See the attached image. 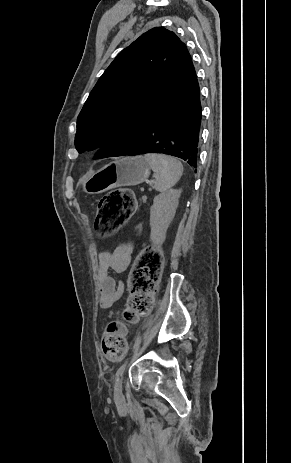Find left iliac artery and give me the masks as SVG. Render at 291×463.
Returning <instances> with one entry per match:
<instances>
[{
  "mask_svg": "<svg viewBox=\"0 0 291 463\" xmlns=\"http://www.w3.org/2000/svg\"><path fill=\"white\" fill-rule=\"evenodd\" d=\"M126 365H127V361L122 366H120V368L116 372L117 377H119V376H121L123 374Z\"/></svg>",
  "mask_w": 291,
  "mask_h": 463,
  "instance_id": "obj_1",
  "label": "left iliac artery"
}]
</instances>
